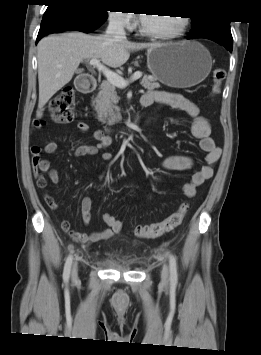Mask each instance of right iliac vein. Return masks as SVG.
<instances>
[{"instance_id": "obj_1", "label": "right iliac vein", "mask_w": 261, "mask_h": 355, "mask_svg": "<svg viewBox=\"0 0 261 355\" xmlns=\"http://www.w3.org/2000/svg\"><path fill=\"white\" fill-rule=\"evenodd\" d=\"M71 279H72V282H74V283L78 280V264L76 261L73 263V266H72Z\"/></svg>"}]
</instances>
